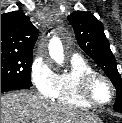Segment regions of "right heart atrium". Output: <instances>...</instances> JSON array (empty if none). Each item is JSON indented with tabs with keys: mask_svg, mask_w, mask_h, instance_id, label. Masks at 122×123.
<instances>
[{
	"mask_svg": "<svg viewBox=\"0 0 122 123\" xmlns=\"http://www.w3.org/2000/svg\"><path fill=\"white\" fill-rule=\"evenodd\" d=\"M30 76L36 90L41 95L52 98L55 91L57 74L46 57L37 55L34 58L31 64Z\"/></svg>",
	"mask_w": 122,
	"mask_h": 123,
	"instance_id": "right-heart-atrium-1",
	"label": "right heart atrium"
}]
</instances>
